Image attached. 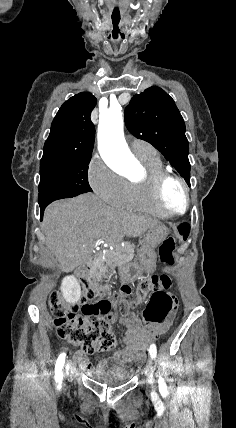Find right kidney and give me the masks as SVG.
Here are the masks:
<instances>
[{"instance_id":"ca27d5eb","label":"right kidney","mask_w":236,"mask_h":428,"mask_svg":"<svg viewBox=\"0 0 236 428\" xmlns=\"http://www.w3.org/2000/svg\"><path fill=\"white\" fill-rule=\"evenodd\" d=\"M61 292L66 302H69V304H76L81 296V288L78 284V280H76L74 276H67V278L63 280Z\"/></svg>"}]
</instances>
